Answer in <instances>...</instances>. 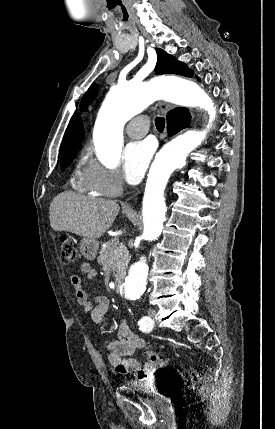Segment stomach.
Instances as JSON below:
<instances>
[{
	"instance_id": "0dacf381",
	"label": "stomach",
	"mask_w": 275,
	"mask_h": 429,
	"mask_svg": "<svg viewBox=\"0 0 275 429\" xmlns=\"http://www.w3.org/2000/svg\"><path fill=\"white\" fill-rule=\"evenodd\" d=\"M99 243L95 239L83 238L80 242V250L83 256L88 260H93L96 257Z\"/></svg>"
}]
</instances>
